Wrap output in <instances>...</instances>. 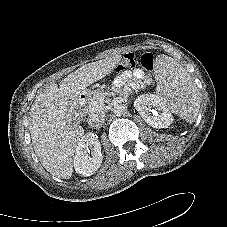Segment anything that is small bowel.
Here are the masks:
<instances>
[{"label": "small bowel", "instance_id": "c3829d8e", "mask_svg": "<svg viewBox=\"0 0 227 227\" xmlns=\"http://www.w3.org/2000/svg\"><path fill=\"white\" fill-rule=\"evenodd\" d=\"M132 77L134 81H131L130 74H124L119 79L118 82L120 84H129V86L133 89L140 88L150 83V78L140 69H137L133 72Z\"/></svg>", "mask_w": 227, "mask_h": 227}]
</instances>
